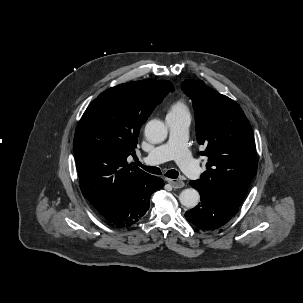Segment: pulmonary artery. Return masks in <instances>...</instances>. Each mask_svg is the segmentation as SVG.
Masks as SVG:
<instances>
[{
	"mask_svg": "<svg viewBox=\"0 0 303 303\" xmlns=\"http://www.w3.org/2000/svg\"><path fill=\"white\" fill-rule=\"evenodd\" d=\"M166 123L169 129L168 140L149 152L143 161L155 165L175 160L190 178L198 179L201 175L200 167L187 147L190 116H167Z\"/></svg>",
	"mask_w": 303,
	"mask_h": 303,
	"instance_id": "1",
	"label": "pulmonary artery"
}]
</instances>
